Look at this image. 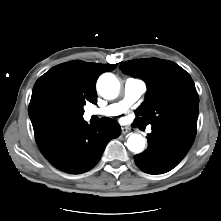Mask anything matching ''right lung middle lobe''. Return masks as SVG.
Returning a JSON list of instances; mask_svg holds the SVG:
<instances>
[{
	"label": "right lung middle lobe",
	"instance_id": "obj_1",
	"mask_svg": "<svg viewBox=\"0 0 221 221\" xmlns=\"http://www.w3.org/2000/svg\"><path fill=\"white\" fill-rule=\"evenodd\" d=\"M86 103H81L78 105L72 112H70L67 116V118H83L84 109L83 106Z\"/></svg>",
	"mask_w": 221,
	"mask_h": 221
}]
</instances>
